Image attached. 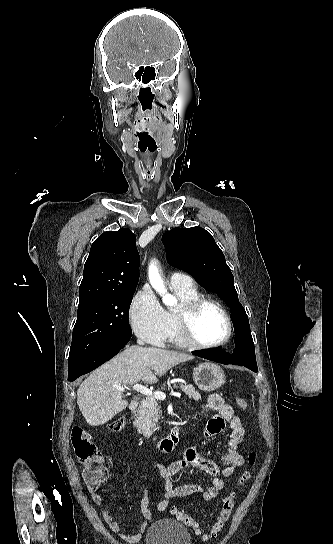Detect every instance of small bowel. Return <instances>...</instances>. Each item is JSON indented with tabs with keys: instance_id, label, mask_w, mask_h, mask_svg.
<instances>
[{
	"instance_id": "small-bowel-1",
	"label": "small bowel",
	"mask_w": 333,
	"mask_h": 544,
	"mask_svg": "<svg viewBox=\"0 0 333 544\" xmlns=\"http://www.w3.org/2000/svg\"><path fill=\"white\" fill-rule=\"evenodd\" d=\"M207 410L216 412L206 425L204 437H213L223 431L225 425L228 424L230 429V438L228 448L222 457L224 468H220L214 461L204 457L196 448L189 446L184 450L183 457L169 464L153 462L152 466L159 472L163 479V499L157 504V511H165L171 504V501L178 498H186L194 494L200 493L204 500L212 501L216 499L220 491L224 488L223 478L233 476L235 470L244 465L245 459L239 451V446L243 441L245 430L240 418L235 414L234 409L229 404L225 403L222 396L218 393H212L207 399L205 405ZM190 468H198L206 474L213 477L209 487H202L198 484H181L175 486L171 478ZM91 497L95 504L100 507L101 514L104 520L109 525L110 529L117 533L124 541L128 543H136L141 539L142 534L147 528L148 522L152 519V512L148 507L149 498L148 490L144 489L143 497L140 501L141 514L143 521L138 527V532L133 535H128L122 532L120 523L111 510L103 506V499L98 490H90Z\"/></svg>"
}]
</instances>
